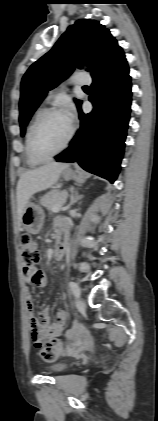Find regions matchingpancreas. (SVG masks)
<instances>
[{"label":"pancreas","instance_id":"pancreas-1","mask_svg":"<svg viewBox=\"0 0 158 421\" xmlns=\"http://www.w3.org/2000/svg\"><path fill=\"white\" fill-rule=\"evenodd\" d=\"M68 197L67 192L60 190H52L41 198V204L48 210L53 211L55 207L62 206Z\"/></svg>","mask_w":158,"mask_h":421}]
</instances>
